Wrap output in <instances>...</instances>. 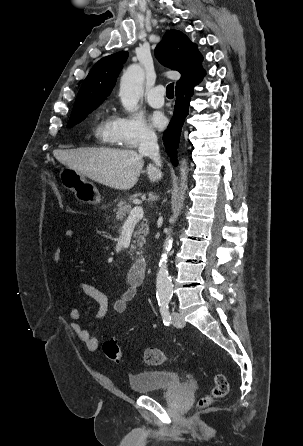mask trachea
<instances>
[{
  "mask_svg": "<svg viewBox=\"0 0 303 446\" xmlns=\"http://www.w3.org/2000/svg\"><path fill=\"white\" fill-rule=\"evenodd\" d=\"M166 96L167 97H174V83H170L166 87Z\"/></svg>",
  "mask_w": 303,
  "mask_h": 446,
  "instance_id": "trachea-1",
  "label": "trachea"
}]
</instances>
